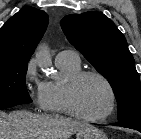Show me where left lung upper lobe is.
Masks as SVG:
<instances>
[{"label":"left lung upper lobe","mask_w":141,"mask_h":139,"mask_svg":"<svg viewBox=\"0 0 141 139\" xmlns=\"http://www.w3.org/2000/svg\"><path fill=\"white\" fill-rule=\"evenodd\" d=\"M61 27L69 40L113 88L120 122L141 120V85L124 35L100 12L67 15Z\"/></svg>","instance_id":"obj_1"}]
</instances>
